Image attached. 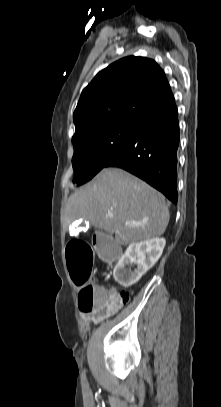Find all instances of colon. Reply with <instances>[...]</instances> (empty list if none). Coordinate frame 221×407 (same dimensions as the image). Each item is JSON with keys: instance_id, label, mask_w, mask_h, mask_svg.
Instances as JSON below:
<instances>
[{"instance_id": "obj_1", "label": "colon", "mask_w": 221, "mask_h": 407, "mask_svg": "<svg viewBox=\"0 0 221 407\" xmlns=\"http://www.w3.org/2000/svg\"><path fill=\"white\" fill-rule=\"evenodd\" d=\"M93 249L102 261H119L121 246L112 240L111 234H94ZM89 243L73 240L67 246V262L70 275L80 288L79 306L84 313L111 315L125 305L131 291H115L93 284L91 280L94 252Z\"/></svg>"}]
</instances>
